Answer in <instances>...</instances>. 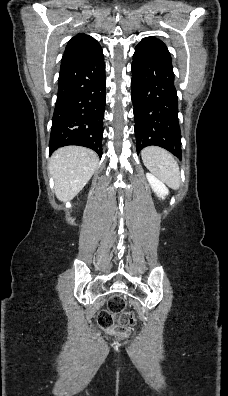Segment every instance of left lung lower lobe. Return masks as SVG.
Here are the masks:
<instances>
[{
  "instance_id": "1",
  "label": "left lung lower lobe",
  "mask_w": 228,
  "mask_h": 396,
  "mask_svg": "<svg viewBox=\"0 0 228 396\" xmlns=\"http://www.w3.org/2000/svg\"><path fill=\"white\" fill-rule=\"evenodd\" d=\"M131 70L137 152L156 145L181 159L178 99L166 45L156 38L142 40L135 48Z\"/></svg>"
}]
</instances>
